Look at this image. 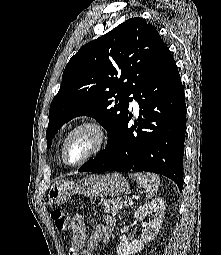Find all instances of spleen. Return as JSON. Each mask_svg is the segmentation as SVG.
<instances>
[{"label": "spleen", "mask_w": 221, "mask_h": 255, "mask_svg": "<svg viewBox=\"0 0 221 255\" xmlns=\"http://www.w3.org/2000/svg\"><path fill=\"white\" fill-rule=\"evenodd\" d=\"M130 178L136 180L146 193V197L151 199L159 190L160 178L152 173H133Z\"/></svg>", "instance_id": "spleen-1"}]
</instances>
